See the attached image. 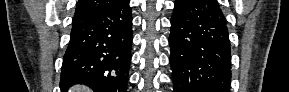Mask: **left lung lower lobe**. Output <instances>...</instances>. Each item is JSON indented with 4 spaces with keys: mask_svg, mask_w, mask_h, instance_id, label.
Returning <instances> with one entry per match:
<instances>
[{
    "mask_svg": "<svg viewBox=\"0 0 289 92\" xmlns=\"http://www.w3.org/2000/svg\"><path fill=\"white\" fill-rule=\"evenodd\" d=\"M169 44L173 92H230L229 33L217 0H175Z\"/></svg>",
    "mask_w": 289,
    "mask_h": 92,
    "instance_id": "0a47b994",
    "label": "left lung lower lobe"
}]
</instances>
